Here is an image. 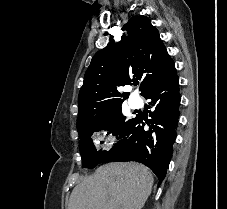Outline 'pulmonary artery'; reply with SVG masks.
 Here are the masks:
<instances>
[{
	"label": "pulmonary artery",
	"instance_id": "1",
	"mask_svg": "<svg viewBox=\"0 0 227 209\" xmlns=\"http://www.w3.org/2000/svg\"><path fill=\"white\" fill-rule=\"evenodd\" d=\"M128 95L130 96L129 99H128V102L134 108L140 107L142 102L144 101V98L140 97L139 92L138 91H133V88H130V91L128 92Z\"/></svg>",
	"mask_w": 227,
	"mask_h": 209
}]
</instances>
